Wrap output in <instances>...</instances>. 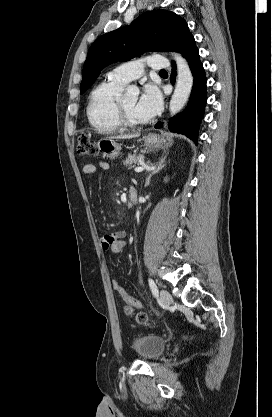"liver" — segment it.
<instances>
[{
  "instance_id": "1",
  "label": "liver",
  "mask_w": 272,
  "mask_h": 417,
  "mask_svg": "<svg viewBox=\"0 0 272 417\" xmlns=\"http://www.w3.org/2000/svg\"><path fill=\"white\" fill-rule=\"evenodd\" d=\"M140 134H133V135H119V136H111L110 139H132L138 137Z\"/></svg>"
}]
</instances>
